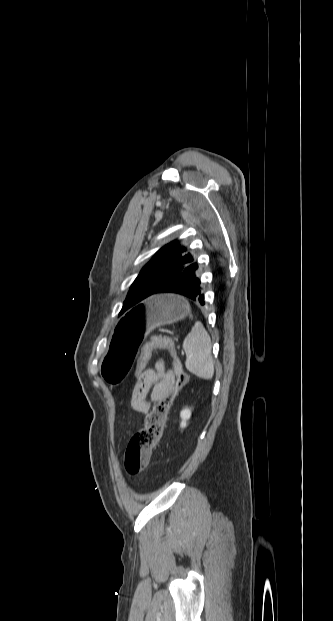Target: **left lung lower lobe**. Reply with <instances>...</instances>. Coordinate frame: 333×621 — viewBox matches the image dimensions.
<instances>
[{"label": "left lung lower lobe", "mask_w": 333, "mask_h": 621, "mask_svg": "<svg viewBox=\"0 0 333 621\" xmlns=\"http://www.w3.org/2000/svg\"><path fill=\"white\" fill-rule=\"evenodd\" d=\"M195 269H189L165 283L155 294L176 293L184 295L201 305L205 304L204 295L201 292V282L196 275Z\"/></svg>", "instance_id": "1"}]
</instances>
